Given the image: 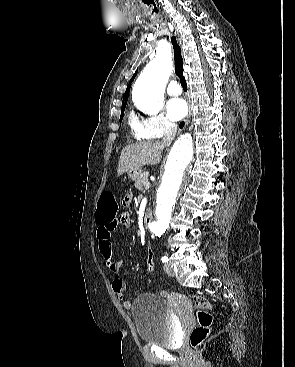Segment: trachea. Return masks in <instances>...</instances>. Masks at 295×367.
I'll use <instances>...</instances> for the list:
<instances>
[{"instance_id":"trachea-1","label":"trachea","mask_w":295,"mask_h":367,"mask_svg":"<svg viewBox=\"0 0 295 367\" xmlns=\"http://www.w3.org/2000/svg\"><path fill=\"white\" fill-rule=\"evenodd\" d=\"M171 42L174 49L175 73L180 78L182 88L187 90V83L183 77V58L181 54V48L175 36L171 37Z\"/></svg>"}]
</instances>
